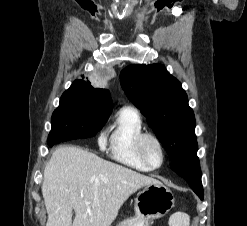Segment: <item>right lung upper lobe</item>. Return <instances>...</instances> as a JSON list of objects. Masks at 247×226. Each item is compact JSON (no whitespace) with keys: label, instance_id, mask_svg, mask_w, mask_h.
<instances>
[{"label":"right lung upper lobe","instance_id":"cb5924a9","mask_svg":"<svg viewBox=\"0 0 247 226\" xmlns=\"http://www.w3.org/2000/svg\"><path fill=\"white\" fill-rule=\"evenodd\" d=\"M68 91L79 92L86 96L95 98L96 100L102 103L103 110L105 112L111 113L112 111L113 103L110 96V92L107 89L94 88L92 85H90L89 80H75L72 83L71 87L68 89Z\"/></svg>","mask_w":247,"mask_h":226}]
</instances>
